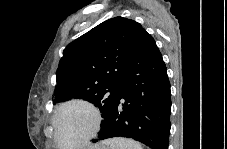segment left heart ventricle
<instances>
[{
	"instance_id": "1",
	"label": "left heart ventricle",
	"mask_w": 227,
	"mask_h": 149,
	"mask_svg": "<svg viewBox=\"0 0 227 149\" xmlns=\"http://www.w3.org/2000/svg\"><path fill=\"white\" fill-rule=\"evenodd\" d=\"M93 118L88 109L71 106L61 112L57 122L58 139L61 144H72L82 140L91 130Z\"/></svg>"
}]
</instances>
